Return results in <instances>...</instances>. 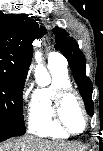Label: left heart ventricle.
<instances>
[{"mask_svg": "<svg viewBox=\"0 0 103 151\" xmlns=\"http://www.w3.org/2000/svg\"><path fill=\"white\" fill-rule=\"evenodd\" d=\"M63 119L74 130L81 131L84 127V114L78 100L74 96L66 98L62 110Z\"/></svg>", "mask_w": 103, "mask_h": 151, "instance_id": "1", "label": "left heart ventricle"}]
</instances>
